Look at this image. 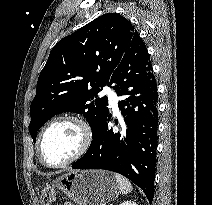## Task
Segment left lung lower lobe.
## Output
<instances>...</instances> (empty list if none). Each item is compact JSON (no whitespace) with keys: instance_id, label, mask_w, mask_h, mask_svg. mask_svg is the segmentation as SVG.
<instances>
[{"instance_id":"0a47b994","label":"left lung lower lobe","mask_w":212,"mask_h":205,"mask_svg":"<svg viewBox=\"0 0 212 205\" xmlns=\"http://www.w3.org/2000/svg\"><path fill=\"white\" fill-rule=\"evenodd\" d=\"M122 99L121 131L109 127L107 110L92 131L93 140L86 154L73 169H105L117 172L139 186L152 202L157 149L158 92L146 46L135 34L107 86ZM117 123V122H116Z\"/></svg>"}]
</instances>
